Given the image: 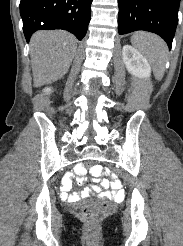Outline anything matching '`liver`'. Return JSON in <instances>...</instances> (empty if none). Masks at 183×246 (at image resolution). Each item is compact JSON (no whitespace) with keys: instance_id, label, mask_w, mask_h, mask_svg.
Listing matches in <instances>:
<instances>
[{"instance_id":"1","label":"liver","mask_w":183,"mask_h":246,"mask_svg":"<svg viewBox=\"0 0 183 246\" xmlns=\"http://www.w3.org/2000/svg\"><path fill=\"white\" fill-rule=\"evenodd\" d=\"M77 49L76 38L66 31H38L30 41L34 87L61 79Z\"/></svg>"}]
</instances>
